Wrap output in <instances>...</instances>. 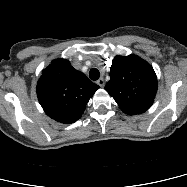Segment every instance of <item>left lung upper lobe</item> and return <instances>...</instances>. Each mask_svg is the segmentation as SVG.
I'll use <instances>...</instances> for the list:
<instances>
[{"label": "left lung upper lobe", "mask_w": 187, "mask_h": 187, "mask_svg": "<svg viewBox=\"0 0 187 187\" xmlns=\"http://www.w3.org/2000/svg\"><path fill=\"white\" fill-rule=\"evenodd\" d=\"M105 90L128 115L141 114L153 104L157 77L152 66L136 55L116 56Z\"/></svg>", "instance_id": "obj_1"}]
</instances>
